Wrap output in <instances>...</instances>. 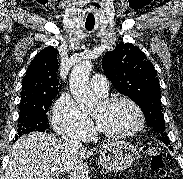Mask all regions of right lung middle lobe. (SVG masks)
I'll list each match as a JSON object with an SVG mask.
<instances>
[{
    "mask_svg": "<svg viewBox=\"0 0 183 179\" xmlns=\"http://www.w3.org/2000/svg\"><path fill=\"white\" fill-rule=\"evenodd\" d=\"M54 96H45L20 103L18 129L15 140L23 134L40 131L43 132L49 125L47 112Z\"/></svg>",
    "mask_w": 183,
    "mask_h": 179,
    "instance_id": "dd1d6c3e",
    "label": "right lung middle lobe"
}]
</instances>
